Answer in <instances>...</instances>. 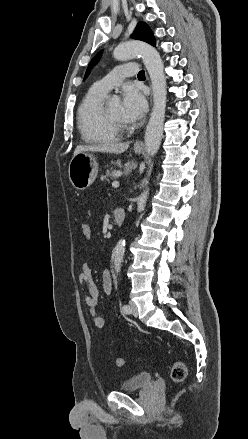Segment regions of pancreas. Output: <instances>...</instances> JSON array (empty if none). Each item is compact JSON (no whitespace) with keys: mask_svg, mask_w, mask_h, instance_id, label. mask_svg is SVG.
<instances>
[{"mask_svg":"<svg viewBox=\"0 0 248 439\" xmlns=\"http://www.w3.org/2000/svg\"><path fill=\"white\" fill-rule=\"evenodd\" d=\"M120 174H121L120 170H116L114 168H111V169L106 171V174L104 176H102V180L108 181L109 178L116 179Z\"/></svg>","mask_w":248,"mask_h":439,"instance_id":"obj_1","label":"pancreas"}]
</instances>
